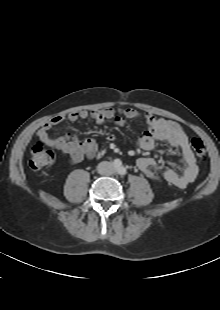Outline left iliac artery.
<instances>
[{
    "label": "left iliac artery",
    "mask_w": 220,
    "mask_h": 310,
    "mask_svg": "<svg viewBox=\"0 0 220 310\" xmlns=\"http://www.w3.org/2000/svg\"><path fill=\"white\" fill-rule=\"evenodd\" d=\"M118 173H119L120 175H125V174L127 173V170H126V168H124L123 166H121V167L118 168Z\"/></svg>",
    "instance_id": "obj_1"
}]
</instances>
